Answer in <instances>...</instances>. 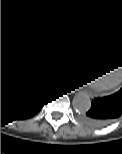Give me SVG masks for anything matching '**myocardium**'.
I'll list each match as a JSON object with an SVG mask.
<instances>
[{"instance_id": "f54148a6", "label": "myocardium", "mask_w": 122, "mask_h": 154, "mask_svg": "<svg viewBox=\"0 0 122 154\" xmlns=\"http://www.w3.org/2000/svg\"><path fill=\"white\" fill-rule=\"evenodd\" d=\"M119 70L121 71V73L117 79H114L107 83L92 82L90 84V88L95 91H104V90H109L118 86L122 82V67H120Z\"/></svg>"}]
</instances>
